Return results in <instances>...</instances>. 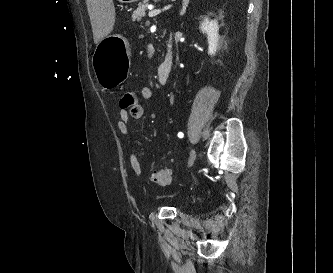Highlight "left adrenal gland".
<instances>
[{
  "label": "left adrenal gland",
  "instance_id": "1",
  "mask_svg": "<svg viewBox=\"0 0 333 273\" xmlns=\"http://www.w3.org/2000/svg\"><path fill=\"white\" fill-rule=\"evenodd\" d=\"M189 1L190 0H183V3H182V10L180 12V15H184L186 13V9L188 7V4H189Z\"/></svg>",
  "mask_w": 333,
  "mask_h": 273
}]
</instances>
